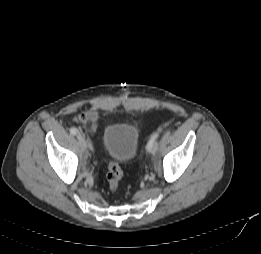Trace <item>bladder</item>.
Wrapping results in <instances>:
<instances>
[{
  "label": "bladder",
  "mask_w": 261,
  "mask_h": 254,
  "mask_svg": "<svg viewBox=\"0 0 261 254\" xmlns=\"http://www.w3.org/2000/svg\"><path fill=\"white\" fill-rule=\"evenodd\" d=\"M138 130L130 124L109 125L103 135L105 152L118 162H129L138 150Z\"/></svg>",
  "instance_id": "bladder-1"
}]
</instances>
